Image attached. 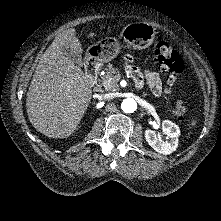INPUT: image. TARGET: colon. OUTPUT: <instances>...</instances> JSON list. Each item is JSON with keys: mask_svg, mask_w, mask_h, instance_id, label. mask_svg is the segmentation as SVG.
Wrapping results in <instances>:
<instances>
[{"mask_svg": "<svg viewBox=\"0 0 221 221\" xmlns=\"http://www.w3.org/2000/svg\"><path fill=\"white\" fill-rule=\"evenodd\" d=\"M154 58L159 66L167 72L172 80L180 76L185 69L184 61L178 52L166 41H158L154 48ZM186 104L180 100L177 102L174 113L178 119H184L186 116Z\"/></svg>", "mask_w": 221, "mask_h": 221, "instance_id": "obj_1", "label": "colon"}]
</instances>
